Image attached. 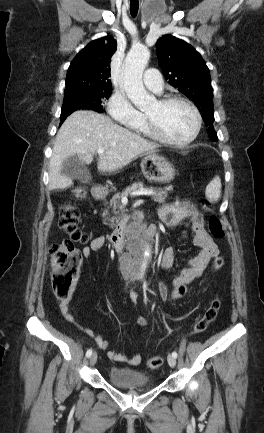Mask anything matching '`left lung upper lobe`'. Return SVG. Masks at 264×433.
<instances>
[{
    "label": "left lung upper lobe",
    "instance_id": "5c2ea615",
    "mask_svg": "<svg viewBox=\"0 0 264 433\" xmlns=\"http://www.w3.org/2000/svg\"><path fill=\"white\" fill-rule=\"evenodd\" d=\"M156 47L165 78L196 104L208 126L209 138L216 141L211 77L205 61L191 45L171 35L158 39Z\"/></svg>",
    "mask_w": 264,
    "mask_h": 433
}]
</instances>
